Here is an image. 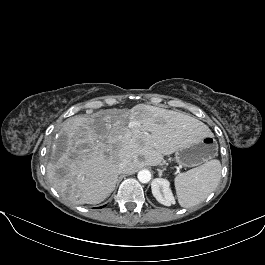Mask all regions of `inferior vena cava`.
Instances as JSON below:
<instances>
[{
  "label": "inferior vena cava",
  "mask_w": 265,
  "mask_h": 265,
  "mask_svg": "<svg viewBox=\"0 0 265 265\" xmlns=\"http://www.w3.org/2000/svg\"><path fill=\"white\" fill-rule=\"evenodd\" d=\"M127 170V163L126 162H121L119 164V174L122 172H126Z\"/></svg>",
  "instance_id": "602c4592"
}]
</instances>
